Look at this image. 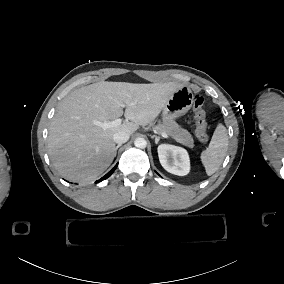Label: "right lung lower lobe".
<instances>
[{
  "label": "right lung lower lobe",
  "instance_id": "right-lung-lower-lobe-1",
  "mask_svg": "<svg viewBox=\"0 0 284 284\" xmlns=\"http://www.w3.org/2000/svg\"><path fill=\"white\" fill-rule=\"evenodd\" d=\"M117 165H118V164H116V166H115L113 169H111L105 176H103L101 179H99L98 181H96V183H97V182H100V181H102V180H104V179H107V178L114 172V170L116 169Z\"/></svg>",
  "mask_w": 284,
  "mask_h": 284
}]
</instances>
